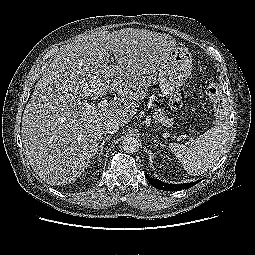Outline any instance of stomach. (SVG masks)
I'll return each instance as SVG.
<instances>
[{"instance_id": "stomach-1", "label": "stomach", "mask_w": 255, "mask_h": 255, "mask_svg": "<svg viewBox=\"0 0 255 255\" xmlns=\"http://www.w3.org/2000/svg\"><path fill=\"white\" fill-rule=\"evenodd\" d=\"M192 69V57L185 47H175L161 64L158 83L164 97H172L179 92Z\"/></svg>"}]
</instances>
